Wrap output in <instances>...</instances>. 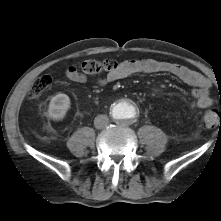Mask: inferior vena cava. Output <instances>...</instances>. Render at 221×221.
<instances>
[{
	"mask_svg": "<svg viewBox=\"0 0 221 221\" xmlns=\"http://www.w3.org/2000/svg\"><path fill=\"white\" fill-rule=\"evenodd\" d=\"M109 124V118L107 115H98L95 117L94 126L97 129H103Z\"/></svg>",
	"mask_w": 221,
	"mask_h": 221,
	"instance_id": "602c4592",
	"label": "inferior vena cava"
}]
</instances>
